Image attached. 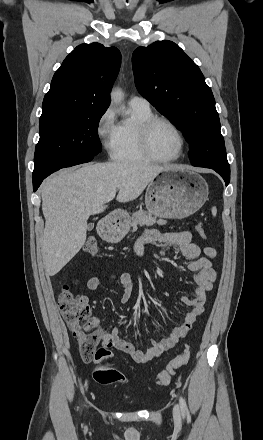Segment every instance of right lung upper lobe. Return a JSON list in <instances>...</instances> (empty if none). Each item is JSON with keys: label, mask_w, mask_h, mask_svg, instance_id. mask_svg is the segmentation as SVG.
Listing matches in <instances>:
<instances>
[{"label": "right lung upper lobe", "mask_w": 263, "mask_h": 440, "mask_svg": "<svg viewBox=\"0 0 263 440\" xmlns=\"http://www.w3.org/2000/svg\"><path fill=\"white\" fill-rule=\"evenodd\" d=\"M121 64L120 51L99 43L77 46L53 76L43 113L107 110Z\"/></svg>", "instance_id": "obj_1"}]
</instances>
